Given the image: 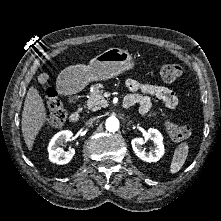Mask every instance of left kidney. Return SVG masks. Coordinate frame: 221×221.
<instances>
[{
	"label": "left kidney",
	"mask_w": 221,
	"mask_h": 221,
	"mask_svg": "<svg viewBox=\"0 0 221 221\" xmlns=\"http://www.w3.org/2000/svg\"><path fill=\"white\" fill-rule=\"evenodd\" d=\"M152 140L154 148L149 152H146L142 145L148 140ZM131 145L134 153L143 161L157 162L164 155V144L161 133L154 128H150L147 135L143 138L137 137L132 139Z\"/></svg>",
	"instance_id": "5707ae66"
}]
</instances>
